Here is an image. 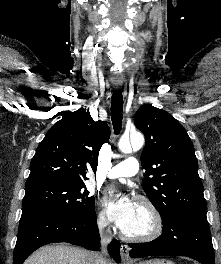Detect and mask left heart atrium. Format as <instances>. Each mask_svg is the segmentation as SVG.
Wrapping results in <instances>:
<instances>
[{
	"mask_svg": "<svg viewBox=\"0 0 221 264\" xmlns=\"http://www.w3.org/2000/svg\"><path fill=\"white\" fill-rule=\"evenodd\" d=\"M104 205L108 218L121 230H124L132 221L137 204L126 195H110L105 198Z\"/></svg>",
	"mask_w": 221,
	"mask_h": 264,
	"instance_id": "1",
	"label": "left heart atrium"
}]
</instances>
